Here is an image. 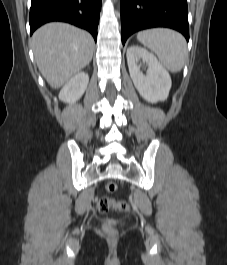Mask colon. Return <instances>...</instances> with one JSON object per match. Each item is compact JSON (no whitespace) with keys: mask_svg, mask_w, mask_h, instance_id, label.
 <instances>
[{"mask_svg":"<svg viewBox=\"0 0 227 265\" xmlns=\"http://www.w3.org/2000/svg\"><path fill=\"white\" fill-rule=\"evenodd\" d=\"M106 190L110 193H114L117 190V185L114 182H108L106 184ZM97 207L101 213L108 212L111 208H114L120 212L127 213L130 209L129 203L127 201L114 202L113 200L102 197L98 200ZM105 233L109 235H114L116 230L109 225L103 227Z\"/></svg>","mask_w":227,"mask_h":265,"instance_id":"5ec220e1","label":"colon"}]
</instances>
